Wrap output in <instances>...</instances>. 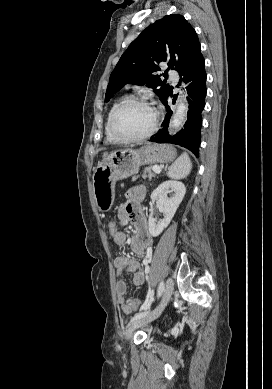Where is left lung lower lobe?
<instances>
[{"instance_id":"0a47b994","label":"left lung lower lobe","mask_w":272,"mask_h":389,"mask_svg":"<svg viewBox=\"0 0 272 389\" xmlns=\"http://www.w3.org/2000/svg\"><path fill=\"white\" fill-rule=\"evenodd\" d=\"M182 77L181 81L186 84V90L188 94L189 110L188 118L184 124V128L174 136L168 135L169 120L172 115V111L167 103V97L164 99L163 104L166 107V118L163 121V128L158 133L154 134L151 138V142L157 143H172L183 146L192 151L196 156L199 155L200 145V130L202 125L201 112L205 106L206 96V73H205V60L201 54V46H199L190 60L179 72Z\"/></svg>"}]
</instances>
